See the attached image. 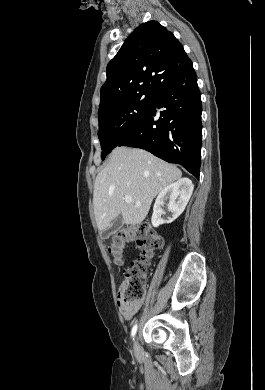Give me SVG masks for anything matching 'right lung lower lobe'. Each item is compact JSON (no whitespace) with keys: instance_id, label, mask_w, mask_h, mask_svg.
I'll use <instances>...</instances> for the list:
<instances>
[{"instance_id":"right-lung-lower-lobe-1","label":"right lung lower lobe","mask_w":265,"mask_h":390,"mask_svg":"<svg viewBox=\"0 0 265 390\" xmlns=\"http://www.w3.org/2000/svg\"><path fill=\"white\" fill-rule=\"evenodd\" d=\"M152 99L147 114L118 146L145 149L199 178L202 104L192 62L163 84Z\"/></svg>"}]
</instances>
